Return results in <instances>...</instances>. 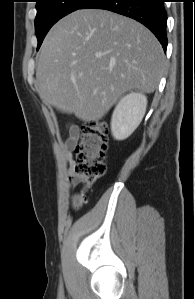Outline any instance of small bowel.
Masks as SVG:
<instances>
[{
    "label": "small bowel",
    "mask_w": 195,
    "mask_h": 299,
    "mask_svg": "<svg viewBox=\"0 0 195 299\" xmlns=\"http://www.w3.org/2000/svg\"><path fill=\"white\" fill-rule=\"evenodd\" d=\"M80 130L77 126H70L68 130V137L65 140L64 147H65V160L69 165V175L72 179V182L74 181L75 175L73 173V166H74V160L72 156V150L74 149L78 137H79Z\"/></svg>",
    "instance_id": "obj_1"
}]
</instances>
